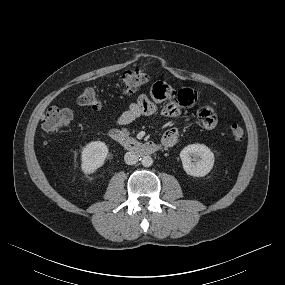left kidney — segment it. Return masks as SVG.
Listing matches in <instances>:
<instances>
[{"label":"left kidney","instance_id":"1","mask_svg":"<svg viewBox=\"0 0 285 285\" xmlns=\"http://www.w3.org/2000/svg\"><path fill=\"white\" fill-rule=\"evenodd\" d=\"M200 157V161L192 162V157ZM180 158L184 171L194 177H203L207 175L214 165V154L204 144H191L183 148L180 152Z\"/></svg>","mask_w":285,"mask_h":285}]
</instances>
